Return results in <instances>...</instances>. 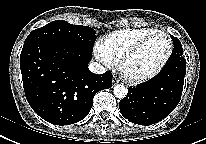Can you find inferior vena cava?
<instances>
[{
  "mask_svg": "<svg viewBox=\"0 0 206 144\" xmlns=\"http://www.w3.org/2000/svg\"><path fill=\"white\" fill-rule=\"evenodd\" d=\"M89 70L94 74H103L105 73V67L98 62H91L89 64Z\"/></svg>",
  "mask_w": 206,
  "mask_h": 144,
  "instance_id": "602c4592",
  "label": "inferior vena cava"
}]
</instances>
